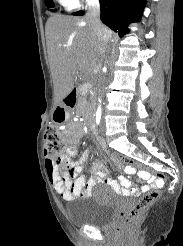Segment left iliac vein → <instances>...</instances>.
<instances>
[{"mask_svg": "<svg viewBox=\"0 0 183 246\" xmlns=\"http://www.w3.org/2000/svg\"><path fill=\"white\" fill-rule=\"evenodd\" d=\"M100 131H101L102 133H104V131H105V121H104V120H102L101 127H100Z\"/></svg>", "mask_w": 183, "mask_h": 246, "instance_id": "obj_1", "label": "left iliac vein"}]
</instances>
